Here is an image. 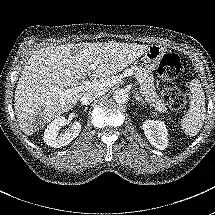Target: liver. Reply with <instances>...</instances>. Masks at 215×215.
Instances as JSON below:
<instances>
[{
  "label": "liver",
  "instance_id": "obj_1",
  "mask_svg": "<svg viewBox=\"0 0 215 215\" xmlns=\"http://www.w3.org/2000/svg\"><path fill=\"white\" fill-rule=\"evenodd\" d=\"M148 45L133 42H80L38 48L31 53L16 84L14 109L21 131L31 136L50 120L70 111L92 87L76 89L84 77L119 73L139 59ZM102 90V89H100Z\"/></svg>",
  "mask_w": 215,
  "mask_h": 215
}]
</instances>
